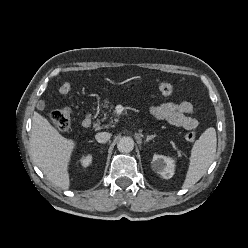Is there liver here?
<instances>
[{
  "label": "liver",
  "mask_w": 248,
  "mask_h": 248,
  "mask_svg": "<svg viewBox=\"0 0 248 248\" xmlns=\"http://www.w3.org/2000/svg\"><path fill=\"white\" fill-rule=\"evenodd\" d=\"M75 141L62 136L46 118L34 112L30 132V153L35 164L54 185L68 189V165Z\"/></svg>",
  "instance_id": "6515ba94"
}]
</instances>
